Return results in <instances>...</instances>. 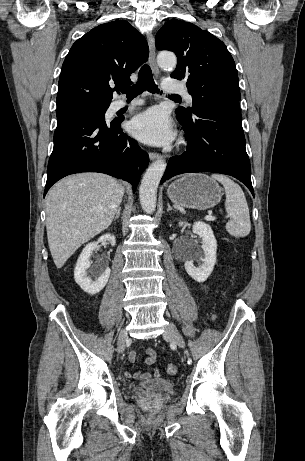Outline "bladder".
<instances>
[{
    "instance_id": "bladder-1",
    "label": "bladder",
    "mask_w": 305,
    "mask_h": 461,
    "mask_svg": "<svg viewBox=\"0 0 305 461\" xmlns=\"http://www.w3.org/2000/svg\"><path fill=\"white\" fill-rule=\"evenodd\" d=\"M139 388L143 391L146 392H154V393H159V392H166V393H172L175 390V384L166 379H149L146 381H143L139 384Z\"/></svg>"
}]
</instances>
